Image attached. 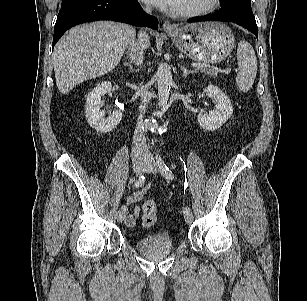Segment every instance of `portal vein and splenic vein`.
Wrapping results in <instances>:
<instances>
[{
  "label": "portal vein and splenic vein",
  "mask_w": 307,
  "mask_h": 301,
  "mask_svg": "<svg viewBox=\"0 0 307 301\" xmlns=\"http://www.w3.org/2000/svg\"><path fill=\"white\" fill-rule=\"evenodd\" d=\"M192 67L194 68H204V67H210L208 64H200V63H194L192 64ZM235 72H237V69H234ZM224 73H228V70L223 71Z\"/></svg>",
  "instance_id": "1"
}]
</instances>
